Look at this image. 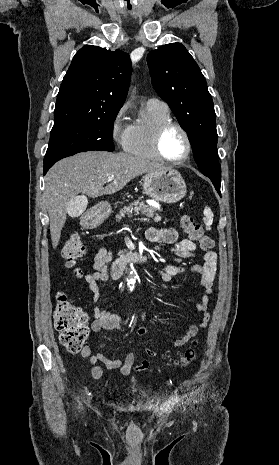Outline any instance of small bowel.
<instances>
[{
  "instance_id": "c3829d8e",
  "label": "small bowel",
  "mask_w": 279,
  "mask_h": 465,
  "mask_svg": "<svg viewBox=\"0 0 279 465\" xmlns=\"http://www.w3.org/2000/svg\"><path fill=\"white\" fill-rule=\"evenodd\" d=\"M146 237L151 243H164L170 247V251L183 259H190L195 256L196 244L189 238L179 239L178 232L174 228H150ZM113 259V250L109 247H101L94 257L93 268L94 272L86 275L85 280L92 292L95 305L92 307V314L94 320L91 324V329L94 334L102 330H122L123 320L116 314L108 310L101 309L98 302L100 300V287L99 283L109 279L108 264ZM114 269V267H113ZM217 269V256L214 251H206L203 254V264L195 265L191 271L200 277V283L204 288V294L196 304V311L201 314V318L197 324H192L188 327L185 334L176 340L173 344L175 348H179L192 340L199 332L200 329L207 326L209 322V314L207 312L209 304V296L213 291V283ZM184 272V268L168 264L162 269L158 270L160 278L164 282L173 281L178 275ZM112 276L113 271H112ZM148 332L147 328H140L138 335H144ZM158 354L155 349H147L148 358L143 359L139 364L135 363V356L133 353H127L123 357H115L113 355L97 353L92 354L91 344H86L81 355L84 358H89L92 365L91 376L95 380H99L103 376V369L99 365L102 363L108 369H119L121 374L130 375L132 372L145 370L149 367L150 357Z\"/></svg>"
}]
</instances>
